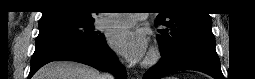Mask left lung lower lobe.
<instances>
[{"instance_id": "0a47b994", "label": "left lung lower lobe", "mask_w": 255, "mask_h": 79, "mask_svg": "<svg viewBox=\"0 0 255 79\" xmlns=\"http://www.w3.org/2000/svg\"><path fill=\"white\" fill-rule=\"evenodd\" d=\"M180 70H196L215 79H224L215 50V39H192L179 45L143 76V79H160Z\"/></svg>"}]
</instances>
